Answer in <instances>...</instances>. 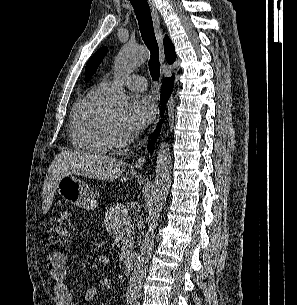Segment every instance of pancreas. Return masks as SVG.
Returning <instances> with one entry per match:
<instances>
[{
    "instance_id": "obj_1",
    "label": "pancreas",
    "mask_w": 297,
    "mask_h": 305,
    "mask_svg": "<svg viewBox=\"0 0 297 305\" xmlns=\"http://www.w3.org/2000/svg\"><path fill=\"white\" fill-rule=\"evenodd\" d=\"M123 205H113L106 211L104 216V224L110 235L113 237L120 236L121 249L120 258L124 259L133 247L134 225L127 218V212H124Z\"/></svg>"
}]
</instances>
